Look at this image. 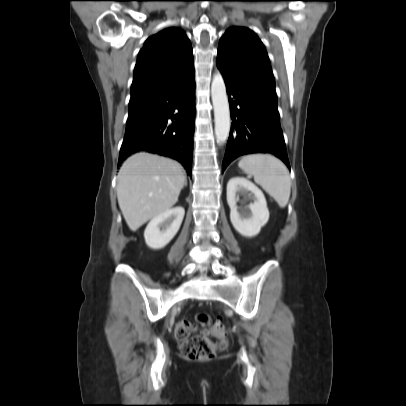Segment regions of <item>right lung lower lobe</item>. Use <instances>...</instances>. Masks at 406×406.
Instances as JSON below:
<instances>
[{"label": "right lung lower lobe", "mask_w": 406, "mask_h": 406, "mask_svg": "<svg viewBox=\"0 0 406 406\" xmlns=\"http://www.w3.org/2000/svg\"><path fill=\"white\" fill-rule=\"evenodd\" d=\"M134 106L140 117L126 126L118 164L131 154L146 151L179 161L192 176L194 72Z\"/></svg>", "instance_id": "1"}]
</instances>
